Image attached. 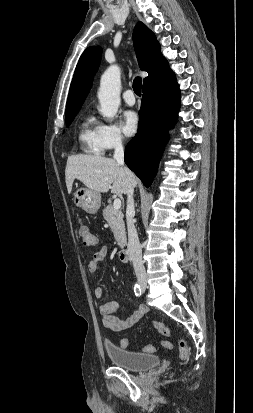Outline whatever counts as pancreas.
<instances>
[{"mask_svg": "<svg viewBox=\"0 0 253 413\" xmlns=\"http://www.w3.org/2000/svg\"><path fill=\"white\" fill-rule=\"evenodd\" d=\"M103 217L108 222L119 247H123L125 240V224L123 220V213L121 210H115L113 205L109 204L103 210Z\"/></svg>", "mask_w": 253, "mask_h": 413, "instance_id": "pancreas-1", "label": "pancreas"}]
</instances>
